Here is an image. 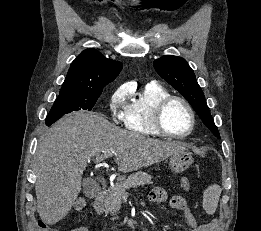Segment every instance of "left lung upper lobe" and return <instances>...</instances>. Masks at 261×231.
<instances>
[{"label":"left lung upper lobe","mask_w":261,"mask_h":231,"mask_svg":"<svg viewBox=\"0 0 261 231\" xmlns=\"http://www.w3.org/2000/svg\"><path fill=\"white\" fill-rule=\"evenodd\" d=\"M154 68L163 79L188 100L203 123L215 136L219 137V132L210 114L202 89L185 59L166 55L154 61Z\"/></svg>","instance_id":"left-lung-upper-lobe-1"}]
</instances>
